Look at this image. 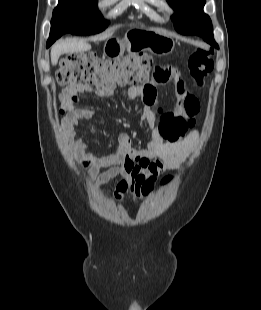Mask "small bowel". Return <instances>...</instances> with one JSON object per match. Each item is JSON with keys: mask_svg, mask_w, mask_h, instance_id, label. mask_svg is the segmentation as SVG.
I'll use <instances>...</instances> for the list:
<instances>
[{"mask_svg": "<svg viewBox=\"0 0 261 310\" xmlns=\"http://www.w3.org/2000/svg\"><path fill=\"white\" fill-rule=\"evenodd\" d=\"M154 77V83L128 87L125 93L131 99L144 97L150 104L155 98L157 85L171 82L179 95V102L174 111L161 109L155 112L150 107L143 110L139 120L141 124H148L149 139L145 149L133 147L131 137L122 133L113 153L99 156L86 152L87 141L78 137L76 126L81 120L92 118L93 111L89 108H72L63 122L74 155L88 169V179L94 181L97 188L113 178L121 177L116 186L117 200H122L126 195L136 199L148 196L162 173L180 166L198 137L195 130L186 135L188 129L194 126L200 107L197 98L185 89L179 72L169 66H158ZM91 93L92 88L89 86L74 85L64 89L63 96L73 106L81 94ZM113 94V89L96 91V95L101 98Z\"/></svg>", "mask_w": 261, "mask_h": 310, "instance_id": "1", "label": "small bowel"}]
</instances>
